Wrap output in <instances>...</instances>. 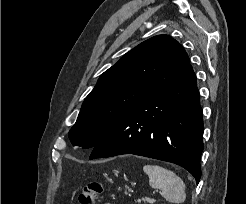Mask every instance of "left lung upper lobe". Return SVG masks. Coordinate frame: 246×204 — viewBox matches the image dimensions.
<instances>
[{
  "label": "left lung upper lobe",
  "mask_w": 246,
  "mask_h": 204,
  "mask_svg": "<svg viewBox=\"0 0 246 204\" xmlns=\"http://www.w3.org/2000/svg\"><path fill=\"white\" fill-rule=\"evenodd\" d=\"M190 64L183 47L167 35L152 37L105 71L85 98L69 131L74 146L94 148L127 113Z\"/></svg>",
  "instance_id": "1"
}]
</instances>
